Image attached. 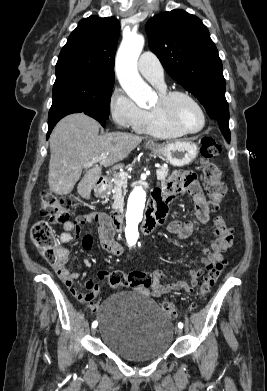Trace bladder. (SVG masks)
<instances>
[{"label": "bladder", "instance_id": "bladder-1", "mask_svg": "<svg viewBox=\"0 0 267 391\" xmlns=\"http://www.w3.org/2000/svg\"><path fill=\"white\" fill-rule=\"evenodd\" d=\"M97 320L102 343L127 360H152L172 345V321L151 298L139 292L110 295L98 308Z\"/></svg>", "mask_w": 267, "mask_h": 391}]
</instances>
